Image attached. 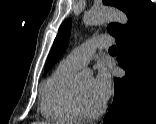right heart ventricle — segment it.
<instances>
[{"instance_id":"obj_1","label":"right heart ventricle","mask_w":156,"mask_h":124,"mask_svg":"<svg viewBox=\"0 0 156 124\" xmlns=\"http://www.w3.org/2000/svg\"><path fill=\"white\" fill-rule=\"evenodd\" d=\"M79 68L62 61L43 86L41 112L53 123L74 124L80 121L73 101V84Z\"/></svg>"}]
</instances>
